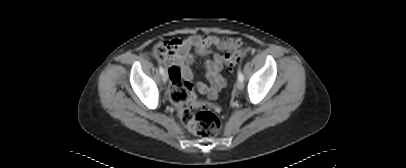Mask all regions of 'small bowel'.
Segmentation results:
<instances>
[{
	"mask_svg": "<svg viewBox=\"0 0 406 168\" xmlns=\"http://www.w3.org/2000/svg\"><path fill=\"white\" fill-rule=\"evenodd\" d=\"M169 45L170 52L163 60L164 63L170 68L176 67L179 70L180 80L190 81L193 74L189 64L194 60L193 51L199 55L211 54L213 48L221 52H232L238 49L240 42L235 38H221L215 35H192L185 39H174ZM224 57L223 53H213L212 58L205 63L206 77L210 86L202 82L196 85L197 91L206 95L210 100L217 99L220 91L226 85L225 78L220 74L224 66ZM170 80H172L171 75Z\"/></svg>",
	"mask_w": 406,
	"mask_h": 168,
	"instance_id": "small-bowel-1",
	"label": "small bowel"
}]
</instances>
